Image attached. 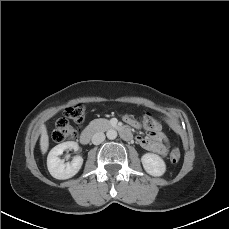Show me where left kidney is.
I'll list each match as a JSON object with an SVG mask.
<instances>
[{
	"mask_svg": "<svg viewBox=\"0 0 229 229\" xmlns=\"http://www.w3.org/2000/svg\"><path fill=\"white\" fill-rule=\"evenodd\" d=\"M145 171L154 177L162 176L166 171V165L163 159L153 153H146L141 158Z\"/></svg>",
	"mask_w": 229,
	"mask_h": 229,
	"instance_id": "1",
	"label": "left kidney"
}]
</instances>
